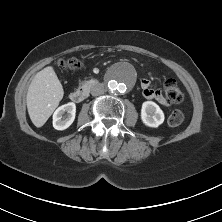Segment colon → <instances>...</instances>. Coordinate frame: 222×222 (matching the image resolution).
<instances>
[{"instance_id":"1","label":"colon","mask_w":222,"mask_h":222,"mask_svg":"<svg viewBox=\"0 0 222 222\" xmlns=\"http://www.w3.org/2000/svg\"><path fill=\"white\" fill-rule=\"evenodd\" d=\"M60 66L65 69H76L80 67L77 59H67L60 62ZM164 96L170 103H178L183 99V93L175 80L168 79L164 84ZM184 120V115L180 110L173 111L168 117V125L175 127L180 125Z\"/></svg>"}]
</instances>
